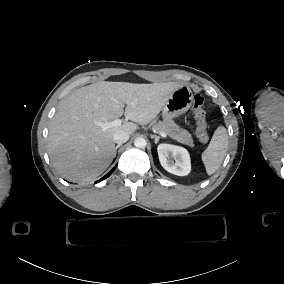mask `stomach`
I'll list each match as a JSON object with an SVG mask.
<instances>
[{"instance_id":"0dacf381","label":"stomach","mask_w":284,"mask_h":284,"mask_svg":"<svg viewBox=\"0 0 284 284\" xmlns=\"http://www.w3.org/2000/svg\"><path fill=\"white\" fill-rule=\"evenodd\" d=\"M193 105V94L188 86L176 90L163 107V117L175 118L184 115Z\"/></svg>"}]
</instances>
